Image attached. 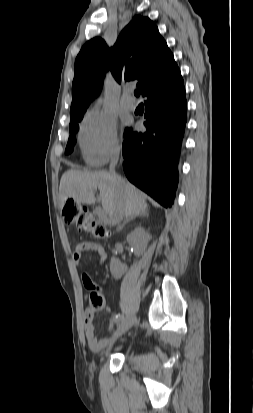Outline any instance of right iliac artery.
Segmentation results:
<instances>
[{"label": "right iliac artery", "mask_w": 253, "mask_h": 413, "mask_svg": "<svg viewBox=\"0 0 253 413\" xmlns=\"http://www.w3.org/2000/svg\"><path fill=\"white\" fill-rule=\"evenodd\" d=\"M125 318H124V316H122V315H117L116 316V322H121V321H123Z\"/></svg>", "instance_id": "82829eb1"}]
</instances>
